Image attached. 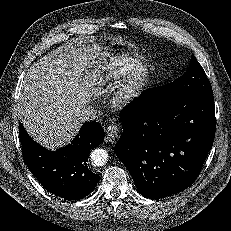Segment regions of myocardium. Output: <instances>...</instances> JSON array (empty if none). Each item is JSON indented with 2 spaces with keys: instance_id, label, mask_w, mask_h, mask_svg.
Masks as SVG:
<instances>
[{
  "instance_id": "f54148a6",
  "label": "myocardium",
  "mask_w": 231,
  "mask_h": 231,
  "mask_svg": "<svg viewBox=\"0 0 231 231\" xmlns=\"http://www.w3.org/2000/svg\"><path fill=\"white\" fill-rule=\"evenodd\" d=\"M152 78V70L145 63L134 68L116 87L111 95L116 106H125L133 102L148 87Z\"/></svg>"
}]
</instances>
